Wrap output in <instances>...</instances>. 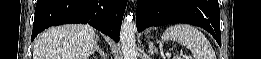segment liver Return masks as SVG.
I'll use <instances>...</instances> for the list:
<instances>
[{"label":"liver","instance_id":"liver-1","mask_svg":"<svg viewBox=\"0 0 261 59\" xmlns=\"http://www.w3.org/2000/svg\"><path fill=\"white\" fill-rule=\"evenodd\" d=\"M96 38L94 28L89 25L53 27L35 39L33 59H88Z\"/></svg>","mask_w":261,"mask_h":59}]
</instances>
